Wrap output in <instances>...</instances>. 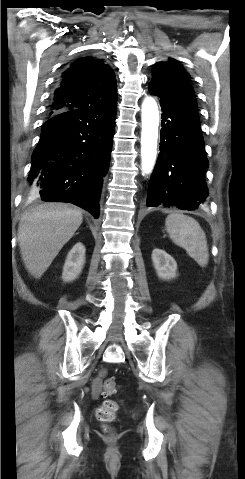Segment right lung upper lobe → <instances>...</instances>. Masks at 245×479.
Segmentation results:
<instances>
[{
  "label": "right lung upper lobe",
  "instance_id": "obj_1",
  "mask_svg": "<svg viewBox=\"0 0 245 479\" xmlns=\"http://www.w3.org/2000/svg\"><path fill=\"white\" fill-rule=\"evenodd\" d=\"M116 79L103 59L86 56L62 73L49 106V116L74 109L116 105Z\"/></svg>",
  "mask_w": 245,
  "mask_h": 479
}]
</instances>
